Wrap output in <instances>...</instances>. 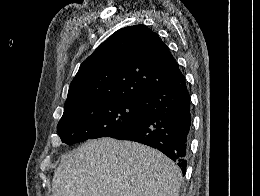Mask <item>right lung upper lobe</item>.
Masks as SVG:
<instances>
[{
	"label": "right lung upper lobe",
	"instance_id": "obj_1",
	"mask_svg": "<svg viewBox=\"0 0 260 196\" xmlns=\"http://www.w3.org/2000/svg\"><path fill=\"white\" fill-rule=\"evenodd\" d=\"M182 75L157 33L145 25L125 27L80 65L65 107L108 95L139 100Z\"/></svg>",
	"mask_w": 260,
	"mask_h": 196
}]
</instances>
